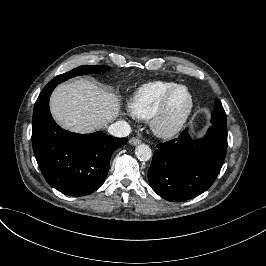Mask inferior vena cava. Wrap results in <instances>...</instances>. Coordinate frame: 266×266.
I'll return each mask as SVG.
<instances>
[{"instance_id":"1","label":"inferior vena cava","mask_w":266,"mask_h":266,"mask_svg":"<svg viewBox=\"0 0 266 266\" xmlns=\"http://www.w3.org/2000/svg\"><path fill=\"white\" fill-rule=\"evenodd\" d=\"M108 132L114 137L123 138L131 133V127L126 121H116L108 127Z\"/></svg>"}]
</instances>
